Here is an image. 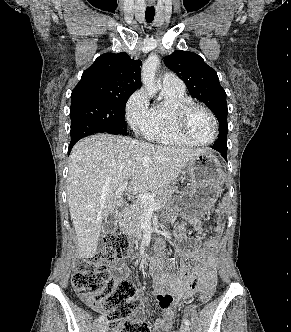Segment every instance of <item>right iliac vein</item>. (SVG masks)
<instances>
[{
  "label": "right iliac vein",
  "mask_w": 291,
  "mask_h": 332,
  "mask_svg": "<svg viewBox=\"0 0 291 332\" xmlns=\"http://www.w3.org/2000/svg\"><path fill=\"white\" fill-rule=\"evenodd\" d=\"M99 332H107V325L105 322H102L100 325H99Z\"/></svg>",
  "instance_id": "obj_1"
}]
</instances>
